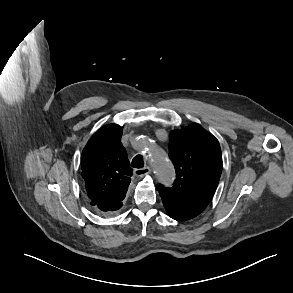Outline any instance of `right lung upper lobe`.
<instances>
[{
  "instance_id": "1",
  "label": "right lung upper lobe",
  "mask_w": 293,
  "mask_h": 293,
  "mask_svg": "<svg viewBox=\"0 0 293 293\" xmlns=\"http://www.w3.org/2000/svg\"><path fill=\"white\" fill-rule=\"evenodd\" d=\"M121 137L119 125H106L91 137L82 152V177L90 204L105 215L122 207L131 181Z\"/></svg>"
}]
</instances>
